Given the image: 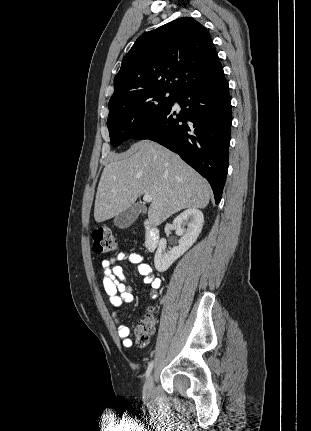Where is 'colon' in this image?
I'll return each mask as SVG.
<instances>
[{"instance_id": "colon-1", "label": "colon", "mask_w": 311, "mask_h": 431, "mask_svg": "<svg viewBox=\"0 0 311 431\" xmlns=\"http://www.w3.org/2000/svg\"><path fill=\"white\" fill-rule=\"evenodd\" d=\"M92 249L96 254L113 252L117 249V240L112 231L105 227H100L94 230ZM156 326V316L153 311H150L143 320H141L135 329L136 344L139 347H144L154 333Z\"/></svg>"}]
</instances>
